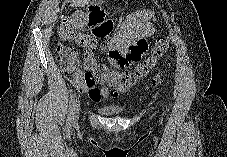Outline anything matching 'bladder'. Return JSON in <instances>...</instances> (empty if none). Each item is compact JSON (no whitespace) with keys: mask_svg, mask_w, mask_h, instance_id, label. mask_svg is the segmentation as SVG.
<instances>
[{"mask_svg":"<svg viewBox=\"0 0 227 157\" xmlns=\"http://www.w3.org/2000/svg\"><path fill=\"white\" fill-rule=\"evenodd\" d=\"M101 112L106 115H117L122 113V109L115 106H106L101 109Z\"/></svg>","mask_w":227,"mask_h":157,"instance_id":"1","label":"bladder"}]
</instances>
